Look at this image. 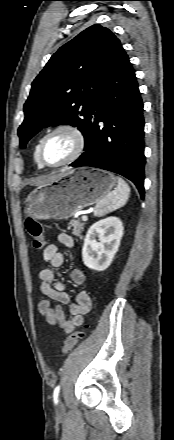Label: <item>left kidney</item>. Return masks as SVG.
Listing matches in <instances>:
<instances>
[{
    "label": "left kidney",
    "instance_id": "left-kidney-1",
    "mask_svg": "<svg viewBox=\"0 0 174 440\" xmlns=\"http://www.w3.org/2000/svg\"><path fill=\"white\" fill-rule=\"evenodd\" d=\"M122 236L123 224L118 217H107L94 223L86 234L82 248L85 266L96 271L107 269L118 251Z\"/></svg>",
    "mask_w": 174,
    "mask_h": 440
}]
</instances>
